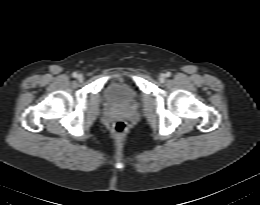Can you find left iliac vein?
<instances>
[{
  "label": "left iliac vein",
  "mask_w": 260,
  "mask_h": 205,
  "mask_svg": "<svg viewBox=\"0 0 260 205\" xmlns=\"http://www.w3.org/2000/svg\"><path fill=\"white\" fill-rule=\"evenodd\" d=\"M159 81L164 82L165 81V74H160Z\"/></svg>",
  "instance_id": "1"
}]
</instances>
